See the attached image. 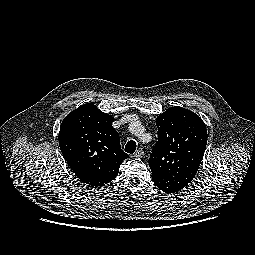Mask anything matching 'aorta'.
Returning a JSON list of instances; mask_svg holds the SVG:
<instances>
[{
    "instance_id": "1",
    "label": "aorta",
    "mask_w": 255,
    "mask_h": 255,
    "mask_svg": "<svg viewBox=\"0 0 255 255\" xmlns=\"http://www.w3.org/2000/svg\"><path fill=\"white\" fill-rule=\"evenodd\" d=\"M139 126H140L139 123L131 124V125H130V130H131L132 132H135V131H136V128L139 127Z\"/></svg>"
}]
</instances>
